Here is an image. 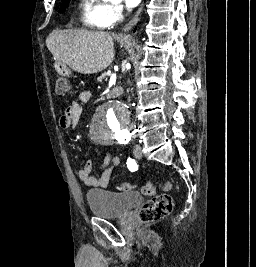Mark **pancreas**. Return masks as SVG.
Returning a JSON list of instances; mask_svg holds the SVG:
<instances>
[{
  "label": "pancreas",
  "mask_w": 256,
  "mask_h": 267,
  "mask_svg": "<svg viewBox=\"0 0 256 267\" xmlns=\"http://www.w3.org/2000/svg\"><path fill=\"white\" fill-rule=\"evenodd\" d=\"M107 80L105 74H102V76H100V80ZM112 94H116V96H121V94H123V88H118V90H115V92H112Z\"/></svg>",
  "instance_id": "cf45deb5"
}]
</instances>
